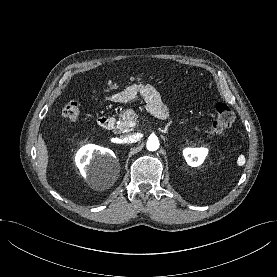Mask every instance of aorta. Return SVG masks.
<instances>
[{
	"label": "aorta",
	"mask_w": 277,
	"mask_h": 277,
	"mask_svg": "<svg viewBox=\"0 0 277 277\" xmlns=\"http://www.w3.org/2000/svg\"><path fill=\"white\" fill-rule=\"evenodd\" d=\"M159 140L157 137L152 136L148 139L146 147L149 151H156L159 148Z\"/></svg>",
	"instance_id": "1"
}]
</instances>
